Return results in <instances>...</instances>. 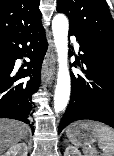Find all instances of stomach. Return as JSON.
Returning <instances> with one entry per match:
<instances>
[{"label":"stomach","mask_w":114,"mask_h":156,"mask_svg":"<svg viewBox=\"0 0 114 156\" xmlns=\"http://www.w3.org/2000/svg\"><path fill=\"white\" fill-rule=\"evenodd\" d=\"M69 141L84 148H91V146L98 140V136L92 129H87L83 126V122H77L70 125L66 130Z\"/></svg>","instance_id":"stomach-1"}]
</instances>
